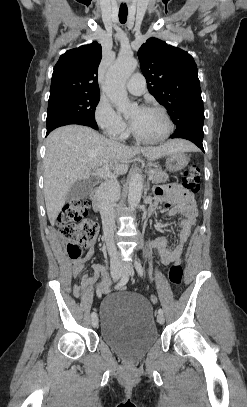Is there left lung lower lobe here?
Instances as JSON below:
<instances>
[{
    "label": "left lung lower lobe",
    "instance_id": "1",
    "mask_svg": "<svg viewBox=\"0 0 247 407\" xmlns=\"http://www.w3.org/2000/svg\"><path fill=\"white\" fill-rule=\"evenodd\" d=\"M203 122L201 119H192L187 121L178 127H176L175 132L171 135V138H183L193 142L197 145L203 152Z\"/></svg>",
    "mask_w": 247,
    "mask_h": 407
}]
</instances>
